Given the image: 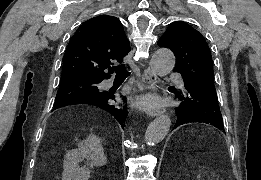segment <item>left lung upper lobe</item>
<instances>
[{"instance_id":"left-lung-upper-lobe-1","label":"left lung upper lobe","mask_w":261,"mask_h":180,"mask_svg":"<svg viewBox=\"0 0 261 180\" xmlns=\"http://www.w3.org/2000/svg\"><path fill=\"white\" fill-rule=\"evenodd\" d=\"M158 45L174 52L175 72L198 82L205 90L216 93L212 57L201 33L184 22L176 21L168 27Z\"/></svg>"}]
</instances>
